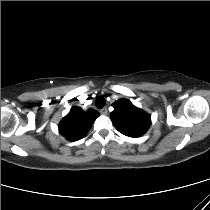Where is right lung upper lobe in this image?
Wrapping results in <instances>:
<instances>
[{
    "instance_id": "cb5924a9",
    "label": "right lung upper lobe",
    "mask_w": 210,
    "mask_h": 210,
    "mask_svg": "<svg viewBox=\"0 0 210 210\" xmlns=\"http://www.w3.org/2000/svg\"><path fill=\"white\" fill-rule=\"evenodd\" d=\"M99 113L94 109L84 112L79 107H73L59 124L60 133L70 141L83 138L91 128Z\"/></svg>"
}]
</instances>
